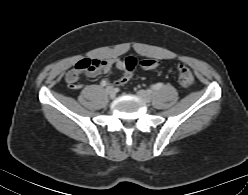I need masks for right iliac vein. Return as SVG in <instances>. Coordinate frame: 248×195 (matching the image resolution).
Listing matches in <instances>:
<instances>
[{
  "instance_id": "63e3f726",
  "label": "right iliac vein",
  "mask_w": 248,
  "mask_h": 195,
  "mask_svg": "<svg viewBox=\"0 0 248 195\" xmlns=\"http://www.w3.org/2000/svg\"><path fill=\"white\" fill-rule=\"evenodd\" d=\"M105 90H106V93L110 96V98L112 99L115 98L116 92L112 86H107Z\"/></svg>"
}]
</instances>
